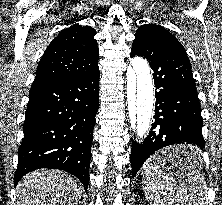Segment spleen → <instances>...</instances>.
I'll return each mask as SVG.
<instances>
[{
  "mask_svg": "<svg viewBox=\"0 0 222 205\" xmlns=\"http://www.w3.org/2000/svg\"><path fill=\"white\" fill-rule=\"evenodd\" d=\"M170 158L154 154L142 167L144 192L150 205H208L207 185L200 172L174 177L165 163Z\"/></svg>",
  "mask_w": 222,
  "mask_h": 205,
  "instance_id": "1",
  "label": "spleen"
}]
</instances>
